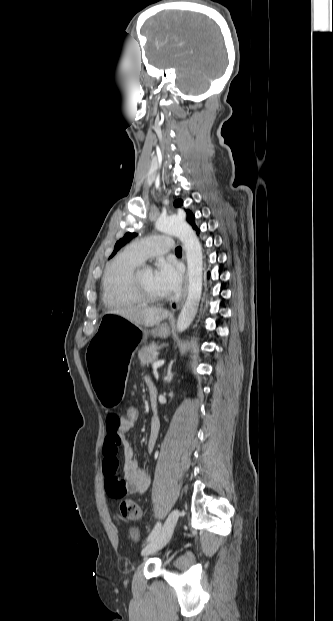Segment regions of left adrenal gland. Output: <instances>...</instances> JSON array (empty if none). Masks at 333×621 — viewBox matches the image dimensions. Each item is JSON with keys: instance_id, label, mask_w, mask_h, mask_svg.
I'll return each mask as SVG.
<instances>
[{"instance_id": "obj_1", "label": "left adrenal gland", "mask_w": 333, "mask_h": 621, "mask_svg": "<svg viewBox=\"0 0 333 621\" xmlns=\"http://www.w3.org/2000/svg\"><path fill=\"white\" fill-rule=\"evenodd\" d=\"M172 365H173V361L170 363V365H169V367H168V370H167V375L165 376V379H166V381H167L168 383H170V382H171V380H172V378H173V376H174V374H173V373H172V371H171V370H172Z\"/></svg>"}]
</instances>
